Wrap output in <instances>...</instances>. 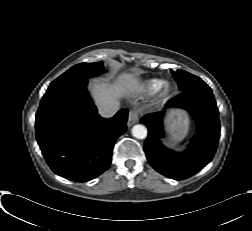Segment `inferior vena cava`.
Instances as JSON below:
<instances>
[{
	"instance_id": "1",
	"label": "inferior vena cava",
	"mask_w": 252,
	"mask_h": 231,
	"mask_svg": "<svg viewBox=\"0 0 252 231\" xmlns=\"http://www.w3.org/2000/svg\"><path fill=\"white\" fill-rule=\"evenodd\" d=\"M120 110V103L118 101L104 104L99 107V114L103 117L109 118L115 115Z\"/></svg>"
}]
</instances>
